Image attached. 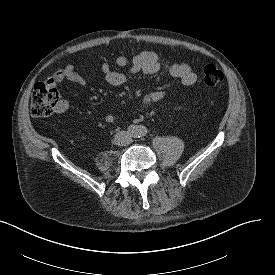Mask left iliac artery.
Returning <instances> with one entry per match:
<instances>
[{"mask_svg": "<svg viewBox=\"0 0 275 275\" xmlns=\"http://www.w3.org/2000/svg\"><path fill=\"white\" fill-rule=\"evenodd\" d=\"M147 132L148 131H147L146 127H144V126H140L138 128V136L139 137L145 136L147 134Z\"/></svg>", "mask_w": 275, "mask_h": 275, "instance_id": "obj_1", "label": "left iliac artery"}]
</instances>
